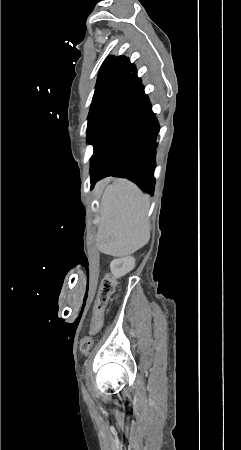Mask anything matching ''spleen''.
<instances>
[{
  "instance_id": "obj_1",
  "label": "spleen",
  "mask_w": 241,
  "mask_h": 450,
  "mask_svg": "<svg viewBox=\"0 0 241 450\" xmlns=\"http://www.w3.org/2000/svg\"><path fill=\"white\" fill-rule=\"evenodd\" d=\"M148 194L128 180H114L103 192L102 212L97 229L99 250L108 256H130L150 240Z\"/></svg>"
}]
</instances>
